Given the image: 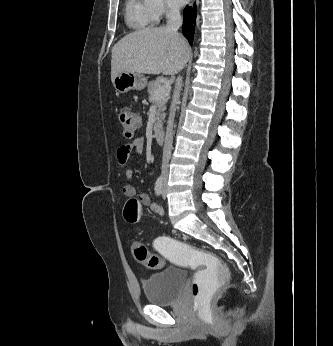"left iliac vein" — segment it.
Instances as JSON below:
<instances>
[{
    "label": "left iliac vein",
    "instance_id": "4c4485c4",
    "mask_svg": "<svg viewBox=\"0 0 333 346\" xmlns=\"http://www.w3.org/2000/svg\"><path fill=\"white\" fill-rule=\"evenodd\" d=\"M166 178H167V175H166V177H165V181H166ZM162 197H163L164 199H165V197H166V183H165L164 186H163Z\"/></svg>",
    "mask_w": 333,
    "mask_h": 346
}]
</instances>
